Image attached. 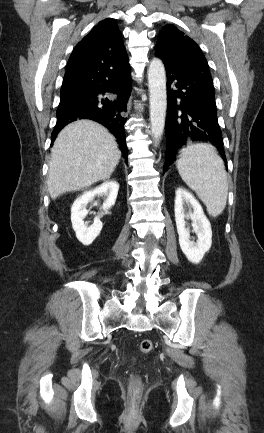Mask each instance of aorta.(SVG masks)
<instances>
[{"label":"aorta","instance_id":"aorta-1","mask_svg":"<svg viewBox=\"0 0 264 433\" xmlns=\"http://www.w3.org/2000/svg\"><path fill=\"white\" fill-rule=\"evenodd\" d=\"M151 134L155 146L163 135L167 108L166 73L163 62L153 58L148 68Z\"/></svg>","mask_w":264,"mask_h":433}]
</instances>
